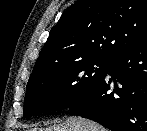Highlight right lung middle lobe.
Segmentation results:
<instances>
[{
  "label": "right lung middle lobe",
  "mask_w": 147,
  "mask_h": 131,
  "mask_svg": "<svg viewBox=\"0 0 147 131\" xmlns=\"http://www.w3.org/2000/svg\"><path fill=\"white\" fill-rule=\"evenodd\" d=\"M109 66L110 60L107 59H87L30 77L24 100V117L69 108L104 78Z\"/></svg>",
  "instance_id": "right-lung-middle-lobe-1"
}]
</instances>
